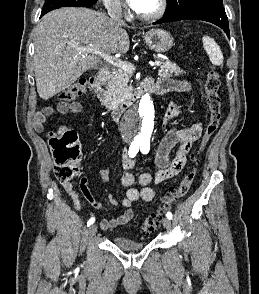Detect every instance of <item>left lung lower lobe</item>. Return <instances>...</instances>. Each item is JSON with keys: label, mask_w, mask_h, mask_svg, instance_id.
<instances>
[{"label": "left lung lower lobe", "mask_w": 259, "mask_h": 294, "mask_svg": "<svg viewBox=\"0 0 259 294\" xmlns=\"http://www.w3.org/2000/svg\"><path fill=\"white\" fill-rule=\"evenodd\" d=\"M178 20H202L211 22L223 29L226 35L230 38L228 18L223 6L212 4L199 5L183 12L164 16L162 19L154 22L153 24Z\"/></svg>", "instance_id": "0a47b994"}]
</instances>
